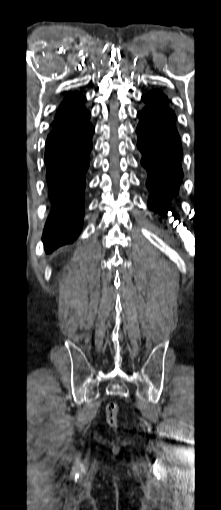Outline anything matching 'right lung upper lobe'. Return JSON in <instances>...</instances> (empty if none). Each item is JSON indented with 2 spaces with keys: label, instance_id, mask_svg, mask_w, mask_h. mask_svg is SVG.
<instances>
[{
  "label": "right lung upper lobe",
  "instance_id": "obj_1",
  "mask_svg": "<svg viewBox=\"0 0 221 510\" xmlns=\"http://www.w3.org/2000/svg\"><path fill=\"white\" fill-rule=\"evenodd\" d=\"M85 97L77 92L70 93L60 104L49 136L61 135L81 127L90 113L83 103Z\"/></svg>",
  "mask_w": 221,
  "mask_h": 510
}]
</instances>
